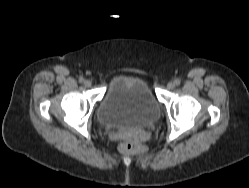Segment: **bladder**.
<instances>
[{
	"label": "bladder",
	"instance_id": "1",
	"mask_svg": "<svg viewBox=\"0 0 249 188\" xmlns=\"http://www.w3.org/2000/svg\"><path fill=\"white\" fill-rule=\"evenodd\" d=\"M160 116V106L149 84L142 78L118 76L101 99L97 117L108 127L149 126Z\"/></svg>",
	"mask_w": 249,
	"mask_h": 188
}]
</instances>
